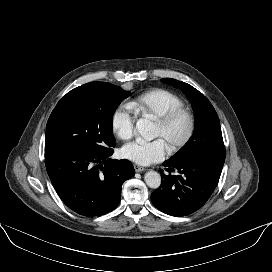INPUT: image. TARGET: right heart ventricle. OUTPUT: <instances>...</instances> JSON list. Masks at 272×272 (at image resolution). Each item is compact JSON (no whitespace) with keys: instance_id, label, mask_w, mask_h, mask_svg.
<instances>
[{"instance_id":"right-heart-ventricle-1","label":"right heart ventricle","mask_w":272,"mask_h":272,"mask_svg":"<svg viewBox=\"0 0 272 272\" xmlns=\"http://www.w3.org/2000/svg\"><path fill=\"white\" fill-rule=\"evenodd\" d=\"M182 99L166 89H154L140 95L130 106L139 115L158 119L169 110L183 107Z\"/></svg>"}]
</instances>
